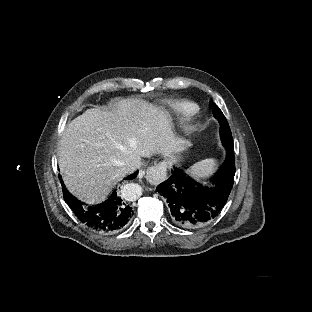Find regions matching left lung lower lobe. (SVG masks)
Segmentation results:
<instances>
[{"label": "left lung lower lobe", "mask_w": 312, "mask_h": 312, "mask_svg": "<svg viewBox=\"0 0 312 312\" xmlns=\"http://www.w3.org/2000/svg\"><path fill=\"white\" fill-rule=\"evenodd\" d=\"M224 146L227 157L210 185L174 169L170 178L157 187V192L167 199L170 219L180 227L202 228L217 217L225 205L234 182L235 157L234 147Z\"/></svg>", "instance_id": "1"}]
</instances>
